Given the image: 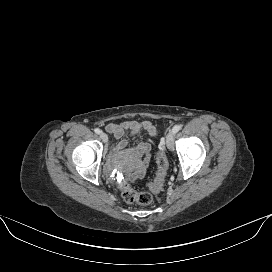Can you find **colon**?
I'll list each match as a JSON object with an SVG mask.
<instances>
[{
    "label": "colon",
    "instance_id": "obj_1",
    "mask_svg": "<svg viewBox=\"0 0 272 272\" xmlns=\"http://www.w3.org/2000/svg\"><path fill=\"white\" fill-rule=\"evenodd\" d=\"M157 173L154 181L150 185L153 192L161 190L168 170V160L162 148L156 154ZM120 191L123 199L128 203H137L140 205H150L153 196L148 192H138L129 183L120 184Z\"/></svg>",
    "mask_w": 272,
    "mask_h": 272
}]
</instances>
